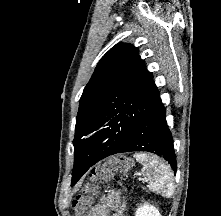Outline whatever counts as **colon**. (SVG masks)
Returning a JSON list of instances; mask_svg holds the SVG:
<instances>
[{"label":"colon","mask_w":221,"mask_h":216,"mask_svg":"<svg viewBox=\"0 0 221 216\" xmlns=\"http://www.w3.org/2000/svg\"><path fill=\"white\" fill-rule=\"evenodd\" d=\"M133 163L127 157L111 158L101 165H99L93 172L94 178H106L113 172H127L131 169ZM73 207L75 209L74 216H88V210L90 208V200L87 197L79 196L73 201Z\"/></svg>","instance_id":"1"}]
</instances>
